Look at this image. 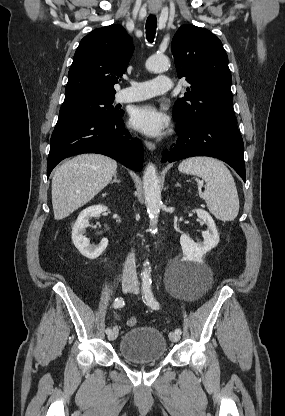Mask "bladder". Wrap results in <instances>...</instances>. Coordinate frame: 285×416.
<instances>
[{
	"label": "bladder",
	"mask_w": 285,
	"mask_h": 416,
	"mask_svg": "<svg viewBox=\"0 0 285 416\" xmlns=\"http://www.w3.org/2000/svg\"><path fill=\"white\" fill-rule=\"evenodd\" d=\"M122 360L155 364L166 358L165 335L153 326H137L121 336L117 344Z\"/></svg>",
	"instance_id": "31cf9c89"
}]
</instances>
